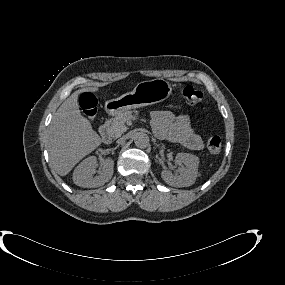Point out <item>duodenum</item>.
I'll list each match as a JSON object with an SVG mask.
<instances>
[{"mask_svg":"<svg viewBox=\"0 0 285 285\" xmlns=\"http://www.w3.org/2000/svg\"><path fill=\"white\" fill-rule=\"evenodd\" d=\"M99 135H100V138L103 142L105 143H108L110 142V133H109V130H108V124L106 121H103L100 125V129H99Z\"/></svg>","mask_w":285,"mask_h":285,"instance_id":"410a0bca","label":"duodenum"}]
</instances>
